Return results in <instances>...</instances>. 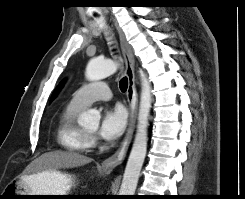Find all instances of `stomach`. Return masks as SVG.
<instances>
[{"instance_id":"obj_1","label":"stomach","mask_w":245,"mask_h":199,"mask_svg":"<svg viewBox=\"0 0 245 199\" xmlns=\"http://www.w3.org/2000/svg\"><path fill=\"white\" fill-rule=\"evenodd\" d=\"M75 176L59 170H46L33 176H24L9 183V195L14 199H32L33 196L15 195H69L75 185ZM63 198V197H52Z\"/></svg>"}]
</instances>
